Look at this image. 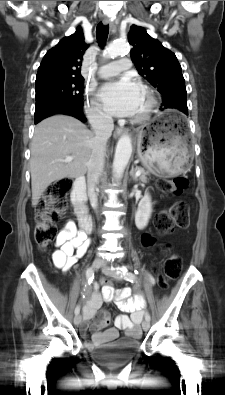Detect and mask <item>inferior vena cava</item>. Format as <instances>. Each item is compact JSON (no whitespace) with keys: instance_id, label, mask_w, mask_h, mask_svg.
Wrapping results in <instances>:
<instances>
[{"instance_id":"602c4592","label":"inferior vena cava","mask_w":225,"mask_h":395,"mask_svg":"<svg viewBox=\"0 0 225 395\" xmlns=\"http://www.w3.org/2000/svg\"><path fill=\"white\" fill-rule=\"evenodd\" d=\"M94 130L92 153L87 164L88 195L94 209L97 208L95 187L99 182L105 163V147L107 140L114 129L113 119L110 115L95 112L91 119Z\"/></svg>"}]
</instances>
